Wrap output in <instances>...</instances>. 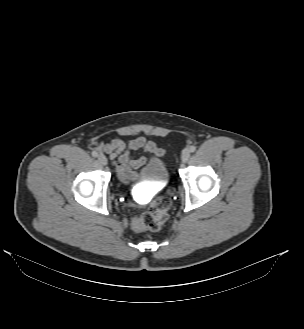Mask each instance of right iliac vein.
Returning <instances> with one entry per match:
<instances>
[{
    "label": "right iliac vein",
    "mask_w": 304,
    "mask_h": 329,
    "mask_svg": "<svg viewBox=\"0 0 304 329\" xmlns=\"http://www.w3.org/2000/svg\"><path fill=\"white\" fill-rule=\"evenodd\" d=\"M98 161L102 164V165H106L107 164V158L105 157V155L100 154L98 156Z\"/></svg>",
    "instance_id": "1"
}]
</instances>
